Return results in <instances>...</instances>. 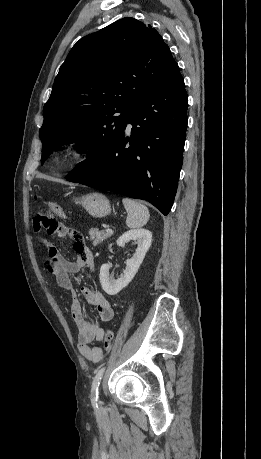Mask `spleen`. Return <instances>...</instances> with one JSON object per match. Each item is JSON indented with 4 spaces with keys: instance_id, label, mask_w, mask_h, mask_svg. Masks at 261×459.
<instances>
[{
    "instance_id": "3e777b00",
    "label": "spleen",
    "mask_w": 261,
    "mask_h": 459,
    "mask_svg": "<svg viewBox=\"0 0 261 459\" xmlns=\"http://www.w3.org/2000/svg\"><path fill=\"white\" fill-rule=\"evenodd\" d=\"M124 208L127 212L126 225L128 228H141L150 218L148 208L132 199L123 198Z\"/></svg>"
}]
</instances>
